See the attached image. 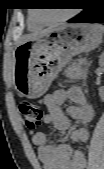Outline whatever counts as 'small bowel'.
I'll return each instance as SVG.
<instances>
[{"label": "small bowel", "instance_id": "obj_1", "mask_svg": "<svg viewBox=\"0 0 104 169\" xmlns=\"http://www.w3.org/2000/svg\"><path fill=\"white\" fill-rule=\"evenodd\" d=\"M67 100L72 104L63 110L62 105ZM43 102L47 108V113L43 116L44 124L65 133L70 128V120H77L81 125L71 132V140L73 142L88 141L90 133L86 125L93 119L94 109L79 87L58 89L46 95ZM32 141L37 147L38 158L44 169H85L87 166L83 151L73 150L66 143L51 142L44 132L35 133Z\"/></svg>", "mask_w": 104, "mask_h": 169}]
</instances>
